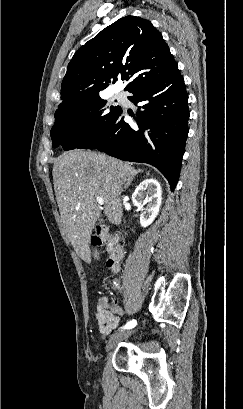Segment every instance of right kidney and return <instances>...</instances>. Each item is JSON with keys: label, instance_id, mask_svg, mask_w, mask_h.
I'll list each match as a JSON object with an SVG mask.
<instances>
[{"label": "right kidney", "instance_id": "right-kidney-1", "mask_svg": "<svg viewBox=\"0 0 243 409\" xmlns=\"http://www.w3.org/2000/svg\"><path fill=\"white\" fill-rule=\"evenodd\" d=\"M162 200V190L155 179L142 181L132 195V202L141 209L140 224L149 226L158 215Z\"/></svg>", "mask_w": 243, "mask_h": 409}]
</instances>
